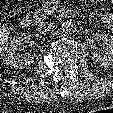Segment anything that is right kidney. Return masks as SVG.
I'll use <instances>...</instances> for the list:
<instances>
[{
  "label": "right kidney",
  "mask_w": 113,
  "mask_h": 113,
  "mask_svg": "<svg viewBox=\"0 0 113 113\" xmlns=\"http://www.w3.org/2000/svg\"><path fill=\"white\" fill-rule=\"evenodd\" d=\"M25 40L29 42V37L26 36L24 33L17 34L10 43L9 48L5 52L4 55V62L6 65L10 66L11 68L16 69H25L28 68L34 62V55L30 53L26 54H19L18 53V45L21 41Z\"/></svg>",
  "instance_id": "ca27d5eb"
}]
</instances>
